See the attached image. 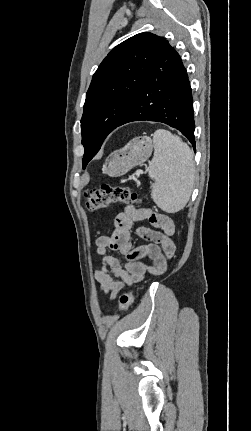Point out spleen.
Wrapping results in <instances>:
<instances>
[{
    "label": "spleen",
    "instance_id": "1",
    "mask_svg": "<svg viewBox=\"0 0 251 431\" xmlns=\"http://www.w3.org/2000/svg\"><path fill=\"white\" fill-rule=\"evenodd\" d=\"M154 156L149 177L152 198L159 208L167 213L183 209L191 196L195 167L193 152L180 137L158 129L153 134Z\"/></svg>",
    "mask_w": 251,
    "mask_h": 431
}]
</instances>
